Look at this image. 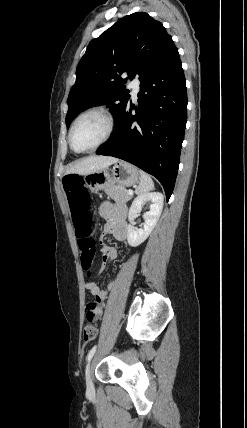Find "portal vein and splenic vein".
Returning a JSON list of instances; mask_svg holds the SVG:
<instances>
[{
	"instance_id": "obj_1",
	"label": "portal vein and splenic vein",
	"mask_w": 247,
	"mask_h": 428,
	"mask_svg": "<svg viewBox=\"0 0 247 428\" xmlns=\"http://www.w3.org/2000/svg\"><path fill=\"white\" fill-rule=\"evenodd\" d=\"M128 194L129 195H133V191L132 190H128Z\"/></svg>"
}]
</instances>
